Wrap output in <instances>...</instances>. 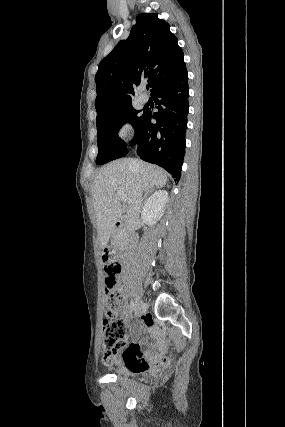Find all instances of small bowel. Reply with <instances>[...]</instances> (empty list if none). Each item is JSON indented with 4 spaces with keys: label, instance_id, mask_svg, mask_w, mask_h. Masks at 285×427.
<instances>
[{
    "label": "small bowel",
    "instance_id": "obj_1",
    "mask_svg": "<svg viewBox=\"0 0 285 427\" xmlns=\"http://www.w3.org/2000/svg\"><path fill=\"white\" fill-rule=\"evenodd\" d=\"M123 314H127L126 309L123 310ZM141 325L152 328L154 322L151 318H144L141 320ZM165 348L164 341H159L155 348H150L147 343L138 342L136 339H133L130 350L123 353L122 358L119 360V364L129 369L136 370L140 369L137 368L136 365L141 362L144 364V367L141 369L155 370L159 365L168 362V359L162 354Z\"/></svg>",
    "mask_w": 285,
    "mask_h": 427
}]
</instances>
